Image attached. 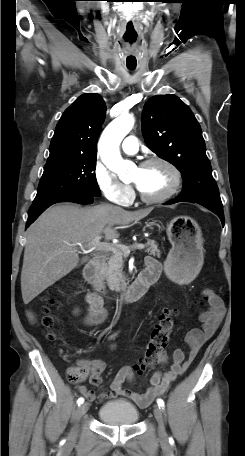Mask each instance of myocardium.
<instances>
[{
  "label": "myocardium",
  "instance_id": "obj_1",
  "mask_svg": "<svg viewBox=\"0 0 245 456\" xmlns=\"http://www.w3.org/2000/svg\"><path fill=\"white\" fill-rule=\"evenodd\" d=\"M157 163L158 164H163L164 166H166L171 171V173L173 175V183H172V186L169 188L168 191H166L165 193H163V194H161L159 196H153V197L145 195L136 186V191H137V194H138L139 198L143 202H146V203L154 204V203H161V202L167 201L170 198H172L179 191V189L181 187V183H182L181 171L179 170V168L174 163H172L170 160H168L166 158H163V157H151V158H148V159L142 161L140 163L139 167L143 168V167H147L149 165L157 164Z\"/></svg>",
  "mask_w": 245,
  "mask_h": 456
}]
</instances>
